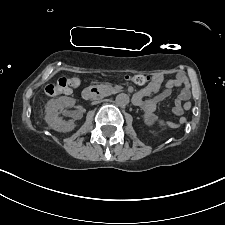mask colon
<instances>
[{
	"label": "colon",
	"instance_id": "5ec220e1",
	"mask_svg": "<svg viewBox=\"0 0 225 225\" xmlns=\"http://www.w3.org/2000/svg\"><path fill=\"white\" fill-rule=\"evenodd\" d=\"M127 81L134 82L138 85L146 84L150 78L145 74H136V75H127L125 77ZM80 85V80L76 77L72 78H61L56 83L50 84L45 88V93L48 96H55L58 94H67L72 90L76 89ZM182 109L190 110L192 108V104L190 102H182ZM185 120H181L180 124H183Z\"/></svg>",
	"mask_w": 225,
	"mask_h": 225
}]
</instances>
